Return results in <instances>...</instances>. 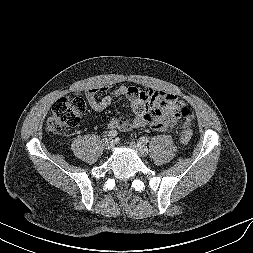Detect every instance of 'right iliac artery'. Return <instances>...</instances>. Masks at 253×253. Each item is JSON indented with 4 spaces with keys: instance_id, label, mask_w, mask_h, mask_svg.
I'll return each mask as SVG.
<instances>
[{
    "instance_id": "obj_1",
    "label": "right iliac artery",
    "mask_w": 253,
    "mask_h": 253,
    "mask_svg": "<svg viewBox=\"0 0 253 253\" xmlns=\"http://www.w3.org/2000/svg\"><path fill=\"white\" fill-rule=\"evenodd\" d=\"M117 131L116 130H110L109 132H108V137H110V138H113V137H115V136H117Z\"/></svg>"
}]
</instances>
